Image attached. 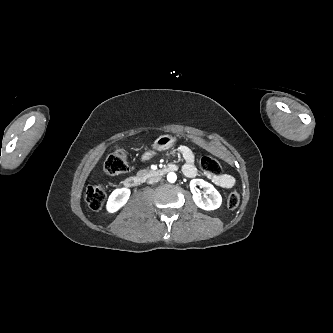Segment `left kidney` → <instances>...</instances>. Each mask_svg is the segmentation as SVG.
<instances>
[{
	"mask_svg": "<svg viewBox=\"0 0 333 333\" xmlns=\"http://www.w3.org/2000/svg\"><path fill=\"white\" fill-rule=\"evenodd\" d=\"M197 185L203 188L209 197L203 198L195 189ZM190 188L193 194V200L199 208L204 210H214L220 207L222 197L212 184L204 181L203 179H193L190 182Z\"/></svg>",
	"mask_w": 333,
	"mask_h": 333,
	"instance_id": "left-kidney-1",
	"label": "left kidney"
}]
</instances>
